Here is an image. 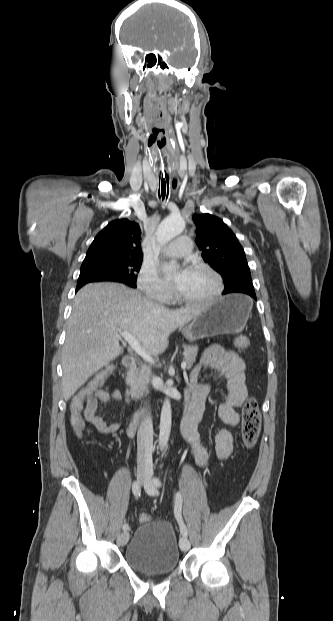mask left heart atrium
<instances>
[{"label": "left heart atrium", "mask_w": 333, "mask_h": 621, "mask_svg": "<svg viewBox=\"0 0 333 621\" xmlns=\"http://www.w3.org/2000/svg\"><path fill=\"white\" fill-rule=\"evenodd\" d=\"M189 275V270L188 269H180L179 271H177L174 274L172 283L174 285L175 288H179L183 285V283L186 281L187 277Z\"/></svg>", "instance_id": "left-heart-atrium-1"}]
</instances>
